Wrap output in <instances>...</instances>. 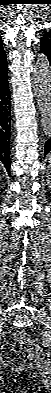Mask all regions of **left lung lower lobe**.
Returning a JSON list of instances; mask_svg holds the SVG:
<instances>
[{"instance_id": "left-lung-lower-lobe-1", "label": "left lung lower lobe", "mask_w": 51, "mask_h": 393, "mask_svg": "<svg viewBox=\"0 0 51 393\" xmlns=\"http://www.w3.org/2000/svg\"><path fill=\"white\" fill-rule=\"evenodd\" d=\"M43 54H44V52H43ZM46 57H47V55H46ZM47 59H48V57H47ZM48 61H49V59H48ZM50 66H51V62H50ZM44 150H45L44 155H47L51 151V138L46 142Z\"/></svg>"}]
</instances>
